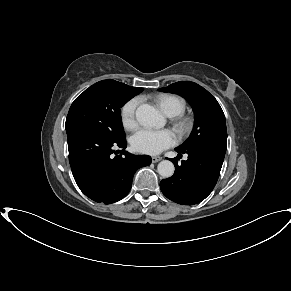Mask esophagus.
<instances>
[{"label": "esophagus", "instance_id": "esophagus-1", "mask_svg": "<svg viewBox=\"0 0 291 291\" xmlns=\"http://www.w3.org/2000/svg\"><path fill=\"white\" fill-rule=\"evenodd\" d=\"M162 160V157H160V156H153L152 157V162L153 163H157V162H159V161H161Z\"/></svg>", "mask_w": 291, "mask_h": 291}]
</instances>
